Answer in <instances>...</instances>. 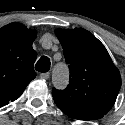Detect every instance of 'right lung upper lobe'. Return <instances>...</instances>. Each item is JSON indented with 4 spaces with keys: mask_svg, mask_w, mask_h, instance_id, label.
<instances>
[{
    "mask_svg": "<svg viewBox=\"0 0 125 125\" xmlns=\"http://www.w3.org/2000/svg\"><path fill=\"white\" fill-rule=\"evenodd\" d=\"M36 34L20 23L0 28V107L18 99L36 76L37 53L32 48Z\"/></svg>",
    "mask_w": 125,
    "mask_h": 125,
    "instance_id": "cb5924a9",
    "label": "right lung upper lobe"
}]
</instances>
